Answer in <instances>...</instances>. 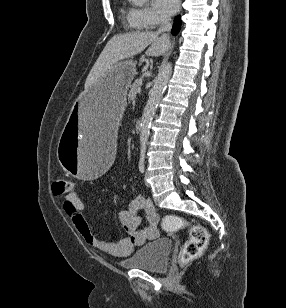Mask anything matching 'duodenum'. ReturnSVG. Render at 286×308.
<instances>
[{
  "mask_svg": "<svg viewBox=\"0 0 286 308\" xmlns=\"http://www.w3.org/2000/svg\"><path fill=\"white\" fill-rule=\"evenodd\" d=\"M140 125H141L140 120H137V121L135 122V129H136V130H139V129H140Z\"/></svg>",
  "mask_w": 286,
  "mask_h": 308,
  "instance_id": "410a0bca",
  "label": "duodenum"
}]
</instances>
